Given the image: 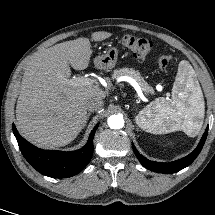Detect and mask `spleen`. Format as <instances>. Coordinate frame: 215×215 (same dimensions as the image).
Masks as SVG:
<instances>
[{
	"label": "spleen",
	"mask_w": 215,
	"mask_h": 215,
	"mask_svg": "<svg viewBox=\"0 0 215 215\" xmlns=\"http://www.w3.org/2000/svg\"><path fill=\"white\" fill-rule=\"evenodd\" d=\"M204 111L203 94L195 72L187 61L182 60L172 88V98H157L136 116V122L153 134L182 130L195 137L203 125Z\"/></svg>",
	"instance_id": "3e777b00"
}]
</instances>
